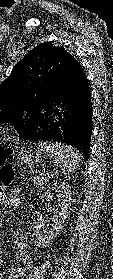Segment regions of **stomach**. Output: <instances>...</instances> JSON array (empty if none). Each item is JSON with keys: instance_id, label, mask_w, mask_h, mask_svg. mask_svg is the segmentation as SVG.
I'll return each instance as SVG.
<instances>
[{"instance_id": "obj_1", "label": "stomach", "mask_w": 113, "mask_h": 279, "mask_svg": "<svg viewBox=\"0 0 113 279\" xmlns=\"http://www.w3.org/2000/svg\"><path fill=\"white\" fill-rule=\"evenodd\" d=\"M17 164L32 167L34 164H39L42 160L41 152L32 149H21L17 153Z\"/></svg>"}]
</instances>
